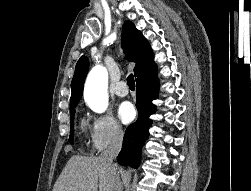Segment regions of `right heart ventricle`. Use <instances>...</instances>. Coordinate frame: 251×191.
I'll return each mask as SVG.
<instances>
[{
	"mask_svg": "<svg viewBox=\"0 0 251 191\" xmlns=\"http://www.w3.org/2000/svg\"><path fill=\"white\" fill-rule=\"evenodd\" d=\"M82 129L84 130V123L82 122Z\"/></svg>",
	"mask_w": 251,
	"mask_h": 191,
	"instance_id": "right-heart-ventricle-1",
	"label": "right heart ventricle"
}]
</instances>
